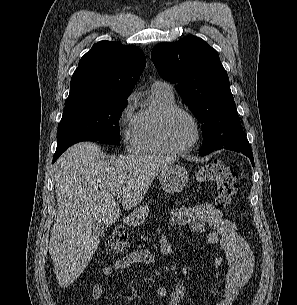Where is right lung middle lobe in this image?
Here are the masks:
<instances>
[{"label": "right lung middle lobe", "mask_w": 297, "mask_h": 305, "mask_svg": "<svg viewBox=\"0 0 297 305\" xmlns=\"http://www.w3.org/2000/svg\"><path fill=\"white\" fill-rule=\"evenodd\" d=\"M126 105L127 96L65 104L58 129L57 149L66 150L81 141L120 144L118 122Z\"/></svg>", "instance_id": "dd1d6c3e"}]
</instances>
